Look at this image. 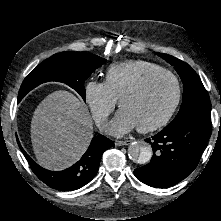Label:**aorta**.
<instances>
[{
	"label": "aorta",
	"instance_id": "obj_1",
	"mask_svg": "<svg viewBox=\"0 0 221 221\" xmlns=\"http://www.w3.org/2000/svg\"><path fill=\"white\" fill-rule=\"evenodd\" d=\"M153 155L152 147L144 141H136L128 147L129 158L137 164L148 163Z\"/></svg>",
	"mask_w": 221,
	"mask_h": 221
}]
</instances>
